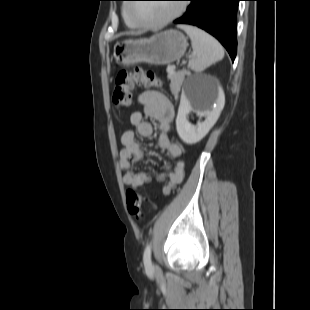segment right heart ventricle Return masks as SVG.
I'll return each mask as SVG.
<instances>
[{
	"mask_svg": "<svg viewBox=\"0 0 310 310\" xmlns=\"http://www.w3.org/2000/svg\"><path fill=\"white\" fill-rule=\"evenodd\" d=\"M126 7V6H125ZM125 7L123 8V15H124V19L127 23V25L131 28H138L133 22H131L128 17L126 16V13H125Z\"/></svg>",
	"mask_w": 310,
	"mask_h": 310,
	"instance_id": "right-heart-ventricle-1",
	"label": "right heart ventricle"
}]
</instances>
